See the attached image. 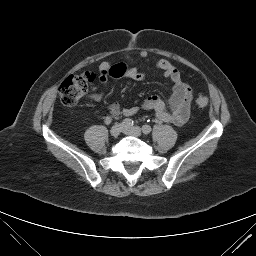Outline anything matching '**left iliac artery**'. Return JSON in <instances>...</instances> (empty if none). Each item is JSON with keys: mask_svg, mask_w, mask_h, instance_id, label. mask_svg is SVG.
I'll list each match as a JSON object with an SVG mask.
<instances>
[{"mask_svg": "<svg viewBox=\"0 0 256 256\" xmlns=\"http://www.w3.org/2000/svg\"><path fill=\"white\" fill-rule=\"evenodd\" d=\"M142 131L144 134H149L152 131V128L150 125L145 124L142 126Z\"/></svg>", "mask_w": 256, "mask_h": 256, "instance_id": "left-iliac-artery-1", "label": "left iliac artery"}]
</instances>
